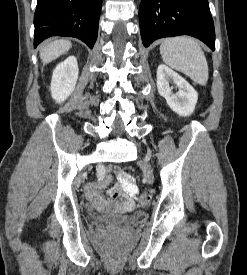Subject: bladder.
Masks as SVG:
<instances>
[{"label": "bladder", "mask_w": 247, "mask_h": 275, "mask_svg": "<svg viewBox=\"0 0 247 275\" xmlns=\"http://www.w3.org/2000/svg\"><path fill=\"white\" fill-rule=\"evenodd\" d=\"M130 216L119 215L114 213H103L97 215V220L106 225H123L129 221H131Z\"/></svg>", "instance_id": "31cf9c89"}]
</instances>
